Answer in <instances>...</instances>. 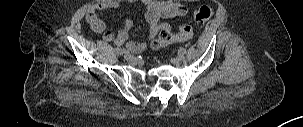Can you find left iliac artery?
Listing matches in <instances>:
<instances>
[{"label":"left iliac artery","instance_id":"obj_1","mask_svg":"<svg viewBox=\"0 0 303 127\" xmlns=\"http://www.w3.org/2000/svg\"><path fill=\"white\" fill-rule=\"evenodd\" d=\"M178 53H179V55H185L186 54V49L185 48H180Z\"/></svg>","mask_w":303,"mask_h":127}]
</instances>
